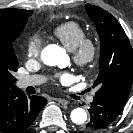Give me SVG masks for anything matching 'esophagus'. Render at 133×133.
I'll list each match as a JSON object with an SVG mask.
<instances>
[{"label": "esophagus", "mask_w": 133, "mask_h": 133, "mask_svg": "<svg viewBox=\"0 0 133 133\" xmlns=\"http://www.w3.org/2000/svg\"><path fill=\"white\" fill-rule=\"evenodd\" d=\"M58 103L62 104V105H67L68 101L66 99H62V98H56L55 99Z\"/></svg>", "instance_id": "34e87169"}]
</instances>
